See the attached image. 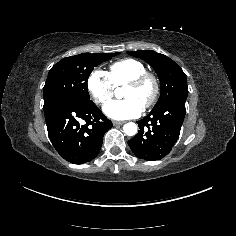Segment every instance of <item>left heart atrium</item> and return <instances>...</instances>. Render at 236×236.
<instances>
[{
	"instance_id": "39dd6f15",
	"label": "left heart atrium",
	"mask_w": 236,
	"mask_h": 236,
	"mask_svg": "<svg viewBox=\"0 0 236 236\" xmlns=\"http://www.w3.org/2000/svg\"><path fill=\"white\" fill-rule=\"evenodd\" d=\"M104 112L113 120H127L140 116L143 106L133 99L117 100L109 103Z\"/></svg>"
}]
</instances>
